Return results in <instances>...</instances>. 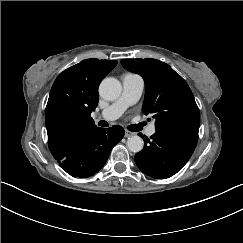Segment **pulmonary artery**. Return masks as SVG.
<instances>
[{"mask_svg":"<svg viewBox=\"0 0 243 243\" xmlns=\"http://www.w3.org/2000/svg\"><path fill=\"white\" fill-rule=\"evenodd\" d=\"M121 82L122 94L120 98L102 112L97 114V119L108 122L116 120L128 106L137 103L141 98L145 85L142 78L136 79L124 75L121 77ZM155 132V123H151L146 129V134L149 137H152Z\"/></svg>","mask_w":243,"mask_h":243,"instance_id":"e3ab8cb5","label":"pulmonary artery"}]
</instances>
